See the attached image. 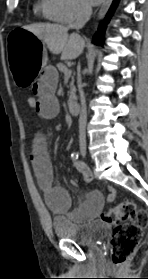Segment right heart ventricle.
Here are the masks:
<instances>
[{
	"label": "right heart ventricle",
	"mask_w": 148,
	"mask_h": 279,
	"mask_svg": "<svg viewBox=\"0 0 148 279\" xmlns=\"http://www.w3.org/2000/svg\"><path fill=\"white\" fill-rule=\"evenodd\" d=\"M36 9L41 11L45 18L56 21L50 9V0H39Z\"/></svg>",
	"instance_id": "e07e8e85"
}]
</instances>
